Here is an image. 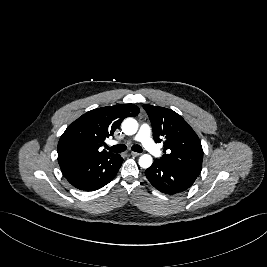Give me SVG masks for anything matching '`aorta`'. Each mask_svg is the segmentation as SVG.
<instances>
[{"label":"aorta","mask_w":267,"mask_h":267,"mask_svg":"<svg viewBox=\"0 0 267 267\" xmlns=\"http://www.w3.org/2000/svg\"><path fill=\"white\" fill-rule=\"evenodd\" d=\"M122 131L126 135H133L138 130V123L134 118H127L122 122ZM153 159L149 154H143L139 158V165L142 168H149L152 165Z\"/></svg>","instance_id":"762f6f07"}]
</instances>
